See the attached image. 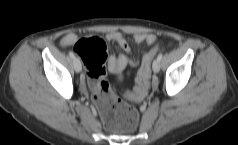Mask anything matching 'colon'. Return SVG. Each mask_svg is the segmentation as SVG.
Returning a JSON list of instances; mask_svg holds the SVG:
<instances>
[{"instance_id": "colon-1", "label": "colon", "mask_w": 238, "mask_h": 145, "mask_svg": "<svg viewBox=\"0 0 238 145\" xmlns=\"http://www.w3.org/2000/svg\"><path fill=\"white\" fill-rule=\"evenodd\" d=\"M157 50L153 49L143 57L137 85L133 91L127 93L130 99L139 101L145 97L149 87L151 62ZM74 51L83 60L93 101L106 128L112 132L134 130L139 120L137 110L114 95L105 79V43L98 37L79 38L74 44Z\"/></svg>"}]
</instances>
